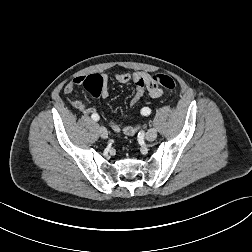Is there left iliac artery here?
Masks as SVG:
<instances>
[{
	"mask_svg": "<svg viewBox=\"0 0 252 252\" xmlns=\"http://www.w3.org/2000/svg\"><path fill=\"white\" fill-rule=\"evenodd\" d=\"M140 116L146 117L150 114V109L148 107H143L139 111Z\"/></svg>",
	"mask_w": 252,
	"mask_h": 252,
	"instance_id": "1",
	"label": "left iliac artery"
}]
</instances>
